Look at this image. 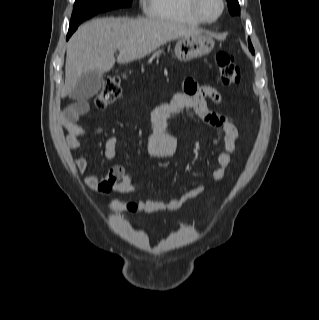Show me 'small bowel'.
I'll return each instance as SVG.
<instances>
[{
    "label": "small bowel",
    "mask_w": 319,
    "mask_h": 320,
    "mask_svg": "<svg viewBox=\"0 0 319 320\" xmlns=\"http://www.w3.org/2000/svg\"><path fill=\"white\" fill-rule=\"evenodd\" d=\"M211 100L216 104L222 103L220 93L212 86H198L193 80H186L184 91L176 93L172 98L158 106L151 116V130L147 135L146 141L150 154L157 158L172 157L177 150V141L170 134L162 130V123L168 115L178 114L184 110L193 111L196 116L205 124L220 130V140L224 145V150L216 154L217 168L212 172V181L219 183L224 179L225 172L231 163V156L236 149V141L239 135L238 129L228 116L220 114L208 108L207 101ZM89 111L86 102L74 104L68 112L60 119L61 126L65 131V141L69 149L79 150L82 148V141L85 138L100 136L101 131L94 133L85 132L79 125L80 118ZM117 136H110L104 145V158L112 160L116 157ZM79 173L83 174L87 169V160L83 155H78L75 160ZM84 184L89 189L108 195L111 192L121 194H136L133 179L121 170L109 169L104 175L93 172L85 177ZM209 183H198L178 196L166 200H154L150 198L139 201V208L147 213L159 211H176L186 202L204 193ZM118 204L117 200L109 199L108 205L114 207Z\"/></svg>",
    "instance_id": "1"
}]
</instances>
